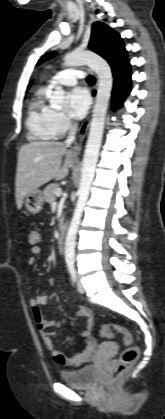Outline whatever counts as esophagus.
<instances>
[{
  "instance_id": "obj_1",
  "label": "esophagus",
  "mask_w": 165,
  "mask_h": 419,
  "mask_svg": "<svg viewBox=\"0 0 165 419\" xmlns=\"http://www.w3.org/2000/svg\"><path fill=\"white\" fill-rule=\"evenodd\" d=\"M89 122H90V116H88L83 121V123L81 124V126L79 127V129L76 132L73 147H72V153L74 155H78L80 153L81 143H82V141L84 140V138L87 134L88 127H89ZM78 140L80 141V143H78Z\"/></svg>"
}]
</instances>
